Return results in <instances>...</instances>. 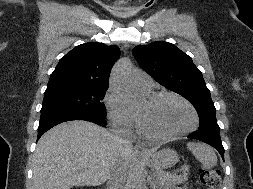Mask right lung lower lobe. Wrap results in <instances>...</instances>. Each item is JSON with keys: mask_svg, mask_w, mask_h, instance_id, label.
Returning a JSON list of instances; mask_svg holds the SVG:
<instances>
[{"mask_svg": "<svg viewBox=\"0 0 253 189\" xmlns=\"http://www.w3.org/2000/svg\"><path fill=\"white\" fill-rule=\"evenodd\" d=\"M70 120H86L98 123L102 126H106L105 117H99L96 115L79 113V112H70V111H47L41 112V118L38 128V138L42 136L50 128L54 127L55 125L70 121Z\"/></svg>", "mask_w": 253, "mask_h": 189, "instance_id": "obj_1", "label": "right lung lower lobe"}]
</instances>
